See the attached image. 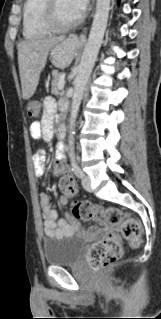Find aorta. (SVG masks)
<instances>
[{
  "label": "aorta",
  "mask_w": 161,
  "mask_h": 319,
  "mask_svg": "<svg viewBox=\"0 0 161 319\" xmlns=\"http://www.w3.org/2000/svg\"><path fill=\"white\" fill-rule=\"evenodd\" d=\"M110 9V0H97L96 11L92 23L90 35L84 48L81 61L78 67L77 75L74 79V93L71 104L70 125H69V150L71 163L75 164L74 153V129L78 115L79 107L87 81L91 75L94 63L96 61L99 49L101 47L104 33L107 27L108 15Z\"/></svg>",
  "instance_id": "1"
}]
</instances>
